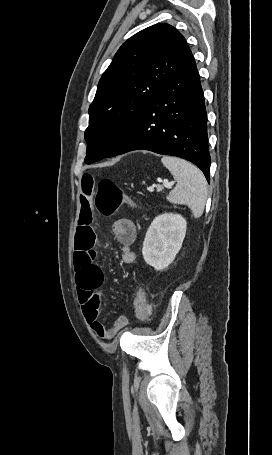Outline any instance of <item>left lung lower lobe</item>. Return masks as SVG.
Wrapping results in <instances>:
<instances>
[{
    "label": "left lung lower lobe",
    "instance_id": "0a47b994",
    "mask_svg": "<svg viewBox=\"0 0 272 455\" xmlns=\"http://www.w3.org/2000/svg\"><path fill=\"white\" fill-rule=\"evenodd\" d=\"M133 150L186 159L209 182L207 114L195 60L146 106L109 157Z\"/></svg>",
    "mask_w": 272,
    "mask_h": 455
}]
</instances>
